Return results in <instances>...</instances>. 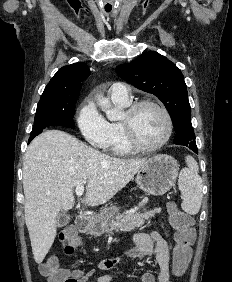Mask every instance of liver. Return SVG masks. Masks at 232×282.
<instances>
[{"label":"liver","mask_w":232,"mask_h":282,"mask_svg":"<svg viewBox=\"0 0 232 282\" xmlns=\"http://www.w3.org/2000/svg\"><path fill=\"white\" fill-rule=\"evenodd\" d=\"M147 159L108 156L61 130H47L28 146L23 164L25 223L40 264L57 232V214L74 205V188L87 184L84 202L105 204L124 188Z\"/></svg>","instance_id":"6515ba94"}]
</instances>
